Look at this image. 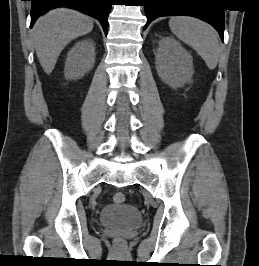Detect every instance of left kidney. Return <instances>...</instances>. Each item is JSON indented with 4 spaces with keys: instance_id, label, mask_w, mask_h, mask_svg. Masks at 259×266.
<instances>
[{
    "instance_id": "1",
    "label": "left kidney",
    "mask_w": 259,
    "mask_h": 266,
    "mask_svg": "<svg viewBox=\"0 0 259 266\" xmlns=\"http://www.w3.org/2000/svg\"><path fill=\"white\" fill-rule=\"evenodd\" d=\"M156 69L163 82L178 88L191 80L192 56L171 36L162 37L155 55Z\"/></svg>"
}]
</instances>
